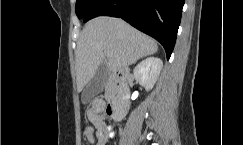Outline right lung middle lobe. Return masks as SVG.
Returning a JSON list of instances; mask_svg holds the SVG:
<instances>
[{"instance_id":"obj_1","label":"right lung middle lobe","mask_w":243,"mask_h":145,"mask_svg":"<svg viewBox=\"0 0 243 145\" xmlns=\"http://www.w3.org/2000/svg\"><path fill=\"white\" fill-rule=\"evenodd\" d=\"M98 0H77L76 1V15L79 19H82L88 10L95 4Z\"/></svg>"}]
</instances>
